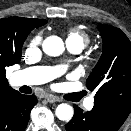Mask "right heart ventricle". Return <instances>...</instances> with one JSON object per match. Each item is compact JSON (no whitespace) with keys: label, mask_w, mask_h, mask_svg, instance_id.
<instances>
[{"label":"right heart ventricle","mask_w":131,"mask_h":131,"mask_svg":"<svg viewBox=\"0 0 131 131\" xmlns=\"http://www.w3.org/2000/svg\"><path fill=\"white\" fill-rule=\"evenodd\" d=\"M67 44L84 48L90 42V36L78 27H70L66 32Z\"/></svg>","instance_id":"obj_1"}]
</instances>
